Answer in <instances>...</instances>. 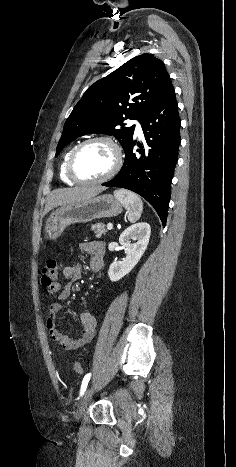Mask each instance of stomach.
<instances>
[{
	"mask_svg": "<svg viewBox=\"0 0 236 467\" xmlns=\"http://www.w3.org/2000/svg\"><path fill=\"white\" fill-rule=\"evenodd\" d=\"M122 210L121 202L111 194L63 205L47 219L44 227L45 238L55 240L71 224L117 216Z\"/></svg>",
	"mask_w": 236,
	"mask_h": 467,
	"instance_id": "stomach-1",
	"label": "stomach"
}]
</instances>
